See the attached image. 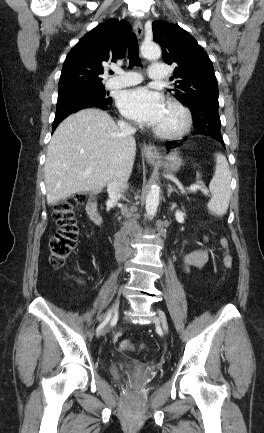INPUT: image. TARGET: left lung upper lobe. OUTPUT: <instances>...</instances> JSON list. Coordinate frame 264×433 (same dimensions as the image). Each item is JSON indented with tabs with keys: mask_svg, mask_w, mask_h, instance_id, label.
Listing matches in <instances>:
<instances>
[{
	"mask_svg": "<svg viewBox=\"0 0 264 433\" xmlns=\"http://www.w3.org/2000/svg\"><path fill=\"white\" fill-rule=\"evenodd\" d=\"M153 39L160 44L167 64H176L174 96L190 109L200 104L219 106L218 85L212 62L197 41L176 24L155 21Z\"/></svg>",
	"mask_w": 264,
	"mask_h": 433,
	"instance_id": "left-lung-upper-lobe-1",
	"label": "left lung upper lobe"
}]
</instances>
